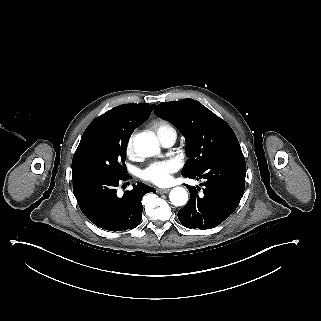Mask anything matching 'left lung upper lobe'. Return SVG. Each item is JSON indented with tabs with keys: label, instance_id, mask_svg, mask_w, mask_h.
Instances as JSON below:
<instances>
[{
	"label": "left lung upper lobe",
	"instance_id": "1",
	"mask_svg": "<svg viewBox=\"0 0 321 321\" xmlns=\"http://www.w3.org/2000/svg\"><path fill=\"white\" fill-rule=\"evenodd\" d=\"M154 112L185 137L188 160L182 175L194 174L218 157L242 152L230 126L196 100L163 102Z\"/></svg>",
	"mask_w": 321,
	"mask_h": 321
}]
</instances>
